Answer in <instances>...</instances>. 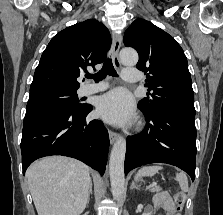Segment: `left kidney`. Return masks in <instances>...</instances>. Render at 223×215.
Returning <instances> with one entry per match:
<instances>
[{
	"label": "left kidney",
	"instance_id": "5707ae66",
	"mask_svg": "<svg viewBox=\"0 0 223 215\" xmlns=\"http://www.w3.org/2000/svg\"><path fill=\"white\" fill-rule=\"evenodd\" d=\"M144 215H151V213H144Z\"/></svg>",
	"mask_w": 223,
	"mask_h": 215
}]
</instances>
